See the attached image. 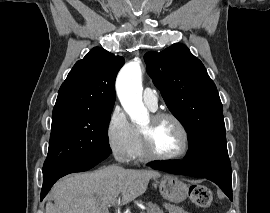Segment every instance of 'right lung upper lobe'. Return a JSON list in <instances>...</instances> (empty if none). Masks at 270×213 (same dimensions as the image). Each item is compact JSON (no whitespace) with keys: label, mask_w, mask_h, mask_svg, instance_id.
I'll list each match as a JSON object with an SVG mask.
<instances>
[{"label":"right lung upper lobe","mask_w":270,"mask_h":213,"mask_svg":"<svg viewBox=\"0 0 270 213\" xmlns=\"http://www.w3.org/2000/svg\"><path fill=\"white\" fill-rule=\"evenodd\" d=\"M124 64L121 56L93 48L76 62L61 85L53 113L63 111H112L115 79Z\"/></svg>","instance_id":"cb5924a9"}]
</instances>
